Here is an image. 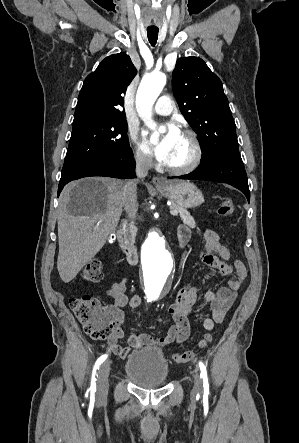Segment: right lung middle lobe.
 Wrapping results in <instances>:
<instances>
[{"instance_id": "1", "label": "right lung middle lobe", "mask_w": 299, "mask_h": 443, "mask_svg": "<svg viewBox=\"0 0 299 443\" xmlns=\"http://www.w3.org/2000/svg\"><path fill=\"white\" fill-rule=\"evenodd\" d=\"M72 130L61 178L96 161L131 152L125 118L87 120L73 124Z\"/></svg>"}]
</instances>
